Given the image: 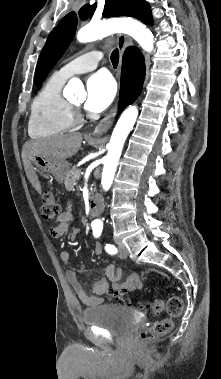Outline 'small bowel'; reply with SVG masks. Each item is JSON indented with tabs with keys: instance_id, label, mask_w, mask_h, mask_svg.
Wrapping results in <instances>:
<instances>
[{
	"instance_id": "small-bowel-1",
	"label": "small bowel",
	"mask_w": 221,
	"mask_h": 379,
	"mask_svg": "<svg viewBox=\"0 0 221 379\" xmlns=\"http://www.w3.org/2000/svg\"><path fill=\"white\" fill-rule=\"evenodd\" d=\"M73 220L74 216L71 207L68 205L57 218L56 225L51 228V236L53 238L63 236L68 231L70 223ZM95 252L96 254H100L101 247L99 245L96 246ZM60 260L64 265H67L70 261V253L62 251L60 253ZM66 277L81 302L88 306L102 303L100 296L108 291L124 294L142 287V280L137 273L128 274L125 280L121 282L122 270L112 264L106 265L101 274L94 279L90 293L86 292L83 288L74 270L67 269Z\"/></svg>"
}]
</instances>
